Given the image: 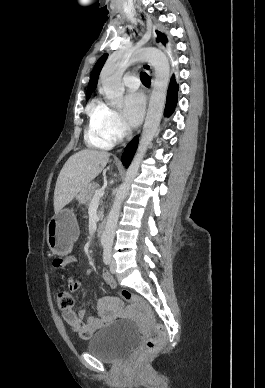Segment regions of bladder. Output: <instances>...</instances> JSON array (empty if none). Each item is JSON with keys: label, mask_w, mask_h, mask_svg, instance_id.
<instances>
[{"label": "bladder", "mask_w": 265, "mask_h": 388, "mask_svg": "<svg viewBox=\"0 0 265 388\" xmlns=\"http://www.w3.org/2000/svg\"><path fill=\"white\" fill-rule=\"evenodd\" d=\"M137 335L138 329L131 321L113 322L91 338L87 351L105 361H118L134 346Z\"/></svg>", "instance_id": "31cf9c89"}]
</instances>
